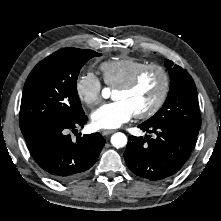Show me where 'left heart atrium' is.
<instances>
[{
  "label": "left heart atrium",
  "mask_w": 221,
  "mask_h": 221,
  "mask_svg": "<svg viewBox=\"0 0 221 221\" xmlns=\"http://www.w3.org/2000/svg\"><path fill=\"white\" fill-rule=\"evenodd\" d=\"M135 115L123 100L105 103L91 114L92 125L96 129H115L128 122Z\"/></svg>",
  "instance_id": "obj_1"
}]
</instances>
